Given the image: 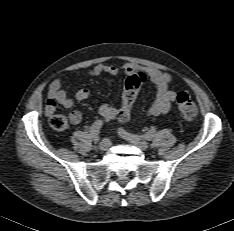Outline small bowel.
Masks as SVG:
<instances>
[{"label": "small bowel", "instance_id": "1", "mask_svg": "<svg viewBox=\"0 0 234 231\" xmlns=\"http://www.w3.org/2000/svg\"><path fill=\"white\" fill-rule=\"evenodd\" d=\"M138 70L143 69L131 62H126L120 66L98 64L91 68L87 74L89 77H98L102 74L117 76L120 72L129 75ZM144 71L156 88V94L151 107L147 111V116L156 117L168 113L177 97V85L173 82L172 76L156 68H146ZM64 82V78H57L50 83L45 104L47 115H52L57 105L69 108L73 105L74 100L83 101L93 97L92 91L88 88H80L75 92L74 98L69 97L64 89ZM98 111L105 122L117 119L119 112L116 107L107 103H101ZM69 117L73 124H78L82 119V114L79 111H74Z\"/></svg>", "mask_w": 234, "mask_h": 231}]
</instances>
